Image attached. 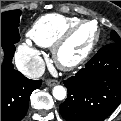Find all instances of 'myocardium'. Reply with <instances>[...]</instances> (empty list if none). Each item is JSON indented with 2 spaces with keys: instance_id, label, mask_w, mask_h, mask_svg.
<instances>
[{
  "instance_id": "myocardium-1",
  "label": "myocardium",
  "mask_w": 121,
  "mask_h": 121,
  "mask_svg": "<svg viewBox=\"0 0 121 121\" xmlns=\"http://www.w3.org/2000/svg\"><path fill=\"white\" fill-rule=\"evenodd\" d=\"M86 24H93V22L87 19L79 20L75 24L68 27L65 31H63L62 34L53 43L52 48H51L52 57L57 67L60 68L61 70L71 71V70L77 69L78 67L82 66L90 58V56L96 49L101 39V30L97 24H95L96 37L93 43L90 45V47L82 56H80L79 58L75 60L68 61V62L63 61L60 57V51L62 47L70 40V38L72 37V35L75 33L77 29H79L81 26L86 25Z\"/></svg>"
}]
</instances>
